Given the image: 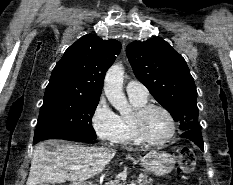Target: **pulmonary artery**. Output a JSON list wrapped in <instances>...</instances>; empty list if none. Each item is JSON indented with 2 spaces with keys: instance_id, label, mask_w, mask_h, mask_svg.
I'll return each instance as SVG.
<instances>
[{
  "instance_id": "pulmonary-artery-1",
  "label": "pulmonary artery",
  "mask_w": 233,
  "mask_h": 185,
  "mask_svg": "<svg viewBox=\"0 0 233 185\" xmlns=\"http://www.w3.org/2000/svg\"><path fill=\"white\" fill-rule=\"evenodd\" d=\"M126 91L129 96L147 97L148 90L140 82L131 80L126 85Z\"/></svg>"
}]
</instances>
